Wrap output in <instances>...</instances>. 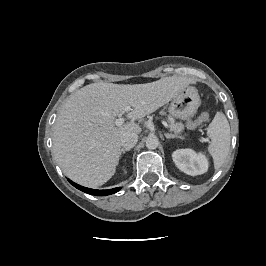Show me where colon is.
<instances>
[{
    "instance_id": "5ec220e1",
    "label": "colon",
    "mask_w": 266,
    "mask_h": 266,
    "mask_svg": "<svg viewBox=\"0 0 266 266\" xmlns=\"http://www.w3.org/2000/svg\"><path fill=\"white\" fill-rule=\"evenodd\" d=\"M207 120H208V114L202 113L196 119L187 121L186 126L189 129H194L199 125L205 123Z\"/></svg>"
}]
</instances>
